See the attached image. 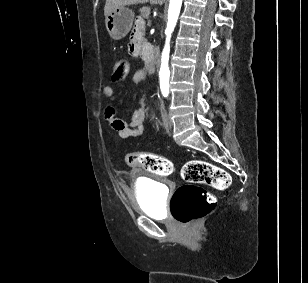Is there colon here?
<instances>
[{
	"label": "colon",
	"instance_id": "5ec220e1",
	"mask_svg": "<svg viewBox=\"0 0 308 283\" xmlns=\"http://www.w3.org/2000/svg\"><path fill=\"white\" fill-rule=\"evenodd\" d=\"M129 69L130 64L126 59L118 60L113 68V80L125 79ZM126 162L130 166L162 176L170 175L174 170L170 160L148 152L130 153L126 156ZM181 177L185 184L175 190L171 199V212L182 224L195 222L215 208L214 196L201 187V184L219 190L228 189L231 185V177L224 169L203 160L186 162L182 166Z\"/></svg>",
	"mask_w": 308,
	"mask_h": 283
}]
</instances>
